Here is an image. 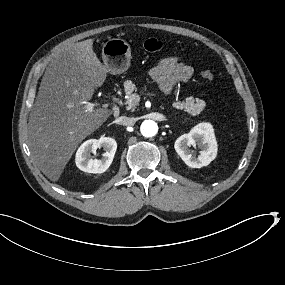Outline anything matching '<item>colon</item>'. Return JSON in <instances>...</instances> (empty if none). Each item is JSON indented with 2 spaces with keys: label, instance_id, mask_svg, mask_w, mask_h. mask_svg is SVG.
I'll return each instance as SVG.
<instances>
[{
  "label": "colon",
  "instance_id": "colon-1",
  "mask_svg": "<svg viewBox=\"0 0 285 285\" xmlns=\"http://www.w3.org/2000/svg\"><path fill=\"white\" fill-rule=\"evenodd\" d=\"M143 48L147 52L156 53V52H159L163 49V42L159 39H156V38H149V39L144 41ZM201 76L205 80H212L214 78L213 73L209 70L202 71Z\"/></svg>",
  "mask_w": 285,
  "mask_h": 285
}]
</instances>
